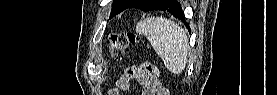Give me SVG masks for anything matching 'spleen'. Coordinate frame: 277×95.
Returning a JSON list of instances; mask_svg holds the SVG:
<instances>
[{"instance_id":"3e777b00","label":"spleen","mask_w":277,"mask_h":95,"mask_svg":"<svg viewBox=\"0 0 277 95\" xmlns=\"http://www.w3.org/2000/svg\"><path fill=\"white\" fill-rule=\"evenodd\" d=\"M136 32L148 39L170 72L182 73L189 44L185 31L177 23L162 17H149L138 22Z\"/></svg>"}]
</instances>
